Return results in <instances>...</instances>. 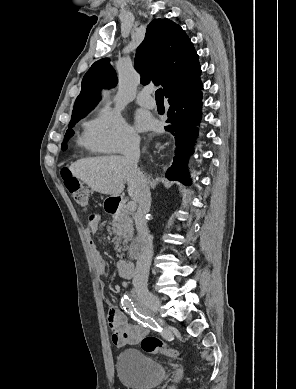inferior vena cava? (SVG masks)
<instances>
[{"mask_svg": "<svg viewBox=\"0 0 296 389\" xmlns=\"http://www.w3.org/2000/svg\"><path fill=\"white\" fill-rule=\"evenodd\" d=\"M139 145L140 137L135 133H129L125 140L123 154L141 188L139 207L135 214V225L138 235L144 245V253L137 262L133 286L137 296L144 300L150 298V293L148 291V276L151 265L152 239L148 233L146 216L150 211L151 193L145 176L138 168V161L140 158Z\"/></svg>", "mask_w": 296, "mask_h": 389, "instance_id": "602c4592", "label": "inferior vena cava"}]
</instances>
